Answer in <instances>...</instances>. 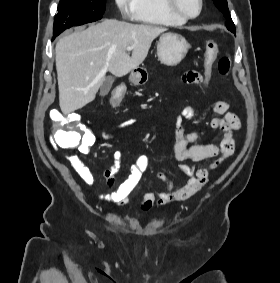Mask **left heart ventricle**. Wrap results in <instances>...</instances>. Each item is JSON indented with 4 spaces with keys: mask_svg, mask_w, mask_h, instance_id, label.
I'll list each match as a JSON object with an SVG mask.
<instances>
[{
    "mask_svg": "<svg viewBox=\"0 0 280 283\" xmlns=\"http://www.w3.org/2000/svg\"><path fill=\"white\" fill-rule=\"evenodd\" d=\"M178 6L190 15H194L199 9V0H177Z\"/></svg>",
    "mask_w": 280,
    "mask_h": 283,
    "instance_id": "obj_1",
    "label": "left heart ventricle"
}]
</instances>
